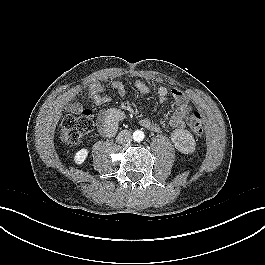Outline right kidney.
<instances>
[{
	"instance_id": "ca27d5eb",
	"label": "right kidney",
	"mask_w": 265,
	"mask_h": 265,
	"mask_svg": "<svg viewBox=\"0 0 265 265\" xmlns=\"http://www.w3.org/2000/svg\"><path fill=\"white\" fill-rule=\"evenodd\" d=\"M89 150L86 148L80 149L76 152L74 156V162L78 165H81L85 162L86 158L88 157Z\"/></svg>"
}]
</instances>
